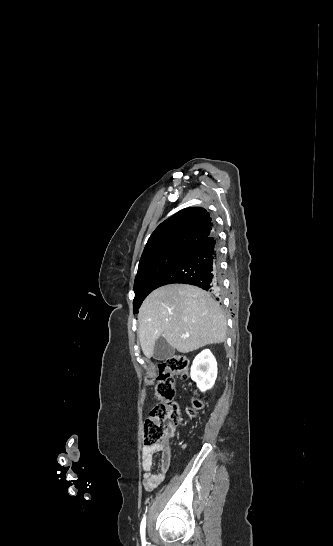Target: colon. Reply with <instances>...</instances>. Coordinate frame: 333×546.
I'll return each instance as SVG.
<instances>
[{
  "mask_svg": "<svg viewBox=\"0 0 333 546\" xmlns=\"http://www.w3.org/2000/svg\"><path fill=\"white\" fill-rule=\"evenodd\" d=\"M189 360L182 355L171 356L158 364L156 395L158 403L153 407L144 423L143 439L147 445L163 444L168 441L181 420L174 400V377L189 375ZM204 403L195 399L194 409H201Z\"/></svg>",
  "mask_w": 333,
  "mask_h": 546,
  "instance_id": "obj_1",
  "label": "colon"
}]
</instances>
